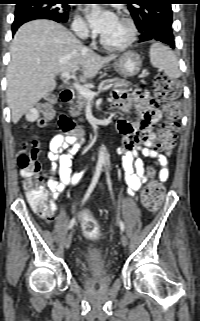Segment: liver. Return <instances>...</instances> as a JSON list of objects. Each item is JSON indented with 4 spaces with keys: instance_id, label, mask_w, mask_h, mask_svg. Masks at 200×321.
Returning a JSON list of instances; mask_svg holds the SVG:
<instances>
[{
    "instance_id": "obj_1",
    "label": "liver",
    "mask_w": 200,
    "mask_h": 321,
    "mask_svg": "<svg viewBox=\"0 0 200 321\" xmlns=\"http://www.w3.org/2000/svg\"><path fill=\"white\" fill-rule=\"evenodd\" d=\"M117 56L101 57L64 26L51 20L22 25L11 43L7 69V101L12 122L33 108L56 87L55 77L82 67L80 81L86 82Z\"/></svg>"
}]
</instances>
